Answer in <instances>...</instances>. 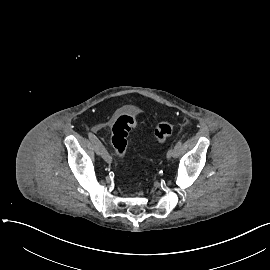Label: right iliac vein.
<instances>
[{"label": "right iliac vein", "instance_id": "1", "mask_svg": "<svg viewBox=\"0 0 270 270\" xmlns=\"http://www.w3.org/2000/svg\"><path fill=\"white\" fill-rule=\"evenodd\" d=\"M92 144H93V148H94V151L96 152V154L101 155V152H100L98 146L96 144H94V143H92Z\"/></svg>", "mask_w": 270, "mask_h": 270}]
</instances>
